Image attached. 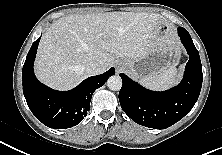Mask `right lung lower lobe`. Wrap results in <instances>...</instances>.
<instances>
[{"mask_svg": "<svg viewBox=\"0 0 222 155\" xmlns=\"http://www.w3.org/2000/svg\"><path fill=\"white\" fill-rule=\"evenodd\" d=\"M40 38L31 46L23 65V93L26 102L44 125L54 129H66L79 124L89 111L93 92L103 86L114 68L85 79L70 91H56L35 77L33 64Z\"/></svg>", "mask_w": 222, "mask_h": 155, "instance_id": "obj_1", "label": "right lung lower lobe"}]
</instances>
